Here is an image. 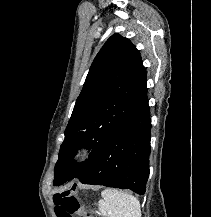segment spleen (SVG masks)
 <instances>
[{"label":"spleen","instance_id":"obj_1","mask_svg":"<svg viewBox=\"0 0 211 217\" xmlns=\"http://www.w3.org/2000/svg\"><path fill=\"white\" fill-rule=\"evenodd\" d=\"M103 200L99 201V210L106 217H141L138 199L116 189L102 191Z\"/></svg>","mask_w":211,"mask_h":217}]
</instances>
